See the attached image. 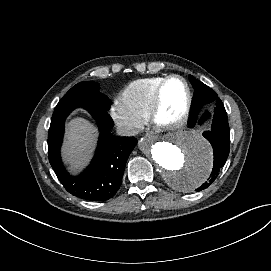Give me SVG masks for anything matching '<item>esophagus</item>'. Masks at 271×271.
<instances>
[{"mask_svg": "<svg viewBox=\"0 0 271 271\" xmlns=\"http://www.w3.org/2000/svg\"><path fill=\"white\" fill-rule=\"evenodd\" d=\"M158 134L154 131H149L146 133V137L150 139L151 141H156L158 139Z\"/></svg>", "mask_w": 271, "mask_h": 271, "instance_id": "34e87169", "label": "esophagus"}]
</instances>
